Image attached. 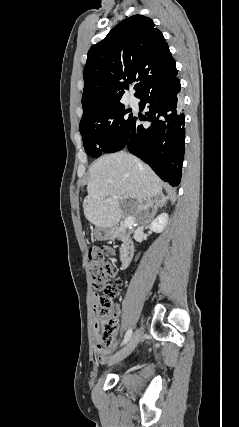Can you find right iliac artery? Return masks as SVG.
<instances>
[{
  "label": "right iliac artery",
  "instance_id": "right-iliac-artery-1",
  "mask_svg": "<svg viewBox=\"0 0 239 427\" xmlns=\"http://www.w3.org/2000/svg\"><path fill=\"white\" fill-rule=\"evenodd\" d=\"M131 336H132V329H129L125 334L122 345L126 344L130 340Z\"/></svg>",
  "mask_w": 239,
  "mask_h": 427
}]
</instances>
